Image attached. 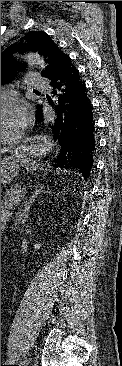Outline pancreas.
Segmentation results:
<instances>
[{"mask_svg": "<svg viewBox=\"0 0 122 366\" xmlns=\"http://www.w3.org/2000/svg\"><path fill=\"white\" fill-rule=\"evenodd\" d=\"M24 193V188H22L19 184L13 185L9 189H6L2 202H11V204H14V202L21 200Z\"/></svg>", "mask_w": 122, "mask_h": 366, "instance_id": "cf45deb5", "label": "pancreas"}]
</instances>
